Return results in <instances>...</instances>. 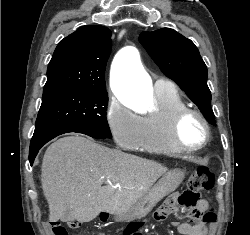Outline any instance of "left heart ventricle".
<instances>
[{
  "instance_id": "left-heart-ventricle-1",
  "label": "left heart ventricle",
  "mask_w": 250,
  "mask_h": 235,
  "mask_svg": "<svg viewBox=\"0 0 250 235\" xmlns=\"http://www.w3.org/2000/svg\"><path fill=\"white\" fill-rule=\"evenodd\" d=\"M204 128L196 116L187 117L180 129L181 140L189 146L199 145L204 138Z\"/></svg>"
}]
</instances>
